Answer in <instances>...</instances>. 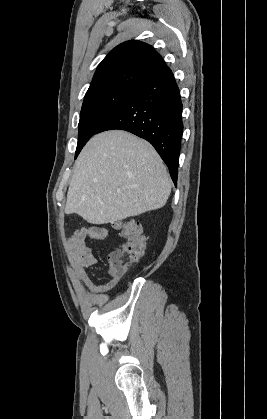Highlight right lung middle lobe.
<instances>
[{
  "mask_svg": "<svg viewBox=\"0 0 267 419\" xmlns=\"http://www.w3.org/2000/svg\"><path fill=\"white\" fill-rule=\"evenodd\" d=\"M136 90V88L109 90L84 98L80 113L77 158L86 142L100 125Z\"/></svg>",
  "mask_w": 267,
  "mask_h": 419,
  "instance_id": "obj_1",
  "label": "right lung middle lobe"
}]
</instances>
